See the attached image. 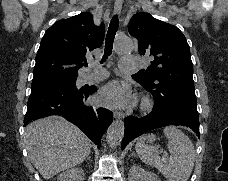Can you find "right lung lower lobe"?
<instances>
[{
	"instance_id": "1",
	"label": "right lung lower lobe",
	"mask_w": 228,
	"mask_h": 181,
	"mask_svg": "<svg viewBox=\"0 0 228 181\" xmlns=\"http://www.w3.org/2000/svg\"><path fill=\"white\" fill-rule=\"evenodd\" d=\"M95 86L43 84L31 87L24 125L49 115H61L80 128L98 148L101 137L113 121V113L87 103Z\"/></svg>"
}]
</instances>
